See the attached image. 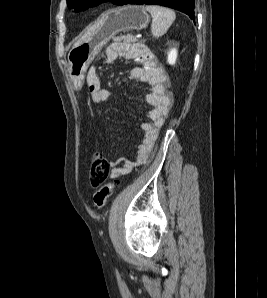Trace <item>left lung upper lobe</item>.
Masks as SVG:
<instances>
[{
  "label": "left lung upper lobe",
  "instance_id": "5c2ea615",
  "mask_svg": "<svg viewBox=\"0 0 267 298\" xmlns=\"http://www.w3.org/2000/svg\"><path fill=\"white\" fill-rule=\"evenodd\" d=\"M107 1H111L116 5H121L123 0H67V5L69 8H73L78 12Z\"/></svg>",
  "mask_w": 267,
  "mask_h": 298
}]
</instances>
